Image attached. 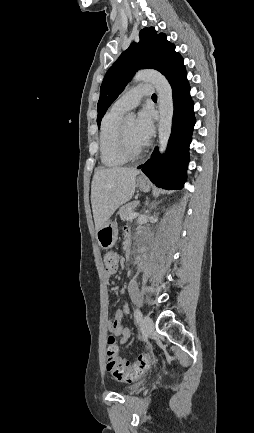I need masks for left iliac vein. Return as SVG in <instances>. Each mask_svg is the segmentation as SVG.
Segmentation results:
<instances>
[{"label":"left iliac vein","mask_w":254,"mask_h":433,"mask_svg":"<svg viewBox=\"0 0 254 433\" xmlns=\"http://www.w3.org/2000/svg\"><path fill=\"white\" fill-rule=\"evenodd\" d=\"M143 327L147 335H150L154 330V322L148 315L144 316Z\"/></svg>","instance_id":"obj_1"}]
</instances>
